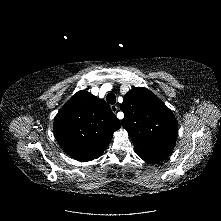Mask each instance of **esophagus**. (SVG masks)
Listing matches in <instances>:
<instances>
[{
  "instance_id": "34e87169",
  "label": "esophagus",
  "mask_w": 221,
  "mask_h": 221,
  "mask_svg": "<svg viewBox=\"0 0 221 221\" xmlns=\"http://www.w3.org/2000/svg\"><path fill=\"white\" fill-rule=\"evenodd\" d=\"M118 106L117 105H111V110L113 113H116L118 111Z\"/></svg>"
}]
</instances>
